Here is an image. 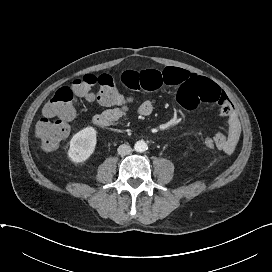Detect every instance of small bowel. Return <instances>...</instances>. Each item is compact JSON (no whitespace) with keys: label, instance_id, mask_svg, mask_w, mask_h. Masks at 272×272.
I'll list each match as a JSON object with an SVG mask.
<instances>
[{"label":"small bowel","instance_id":"c3829d8e","mask_svg":"<svg viewBox=\"0 0 272 272\" xmlns=\"http://www.w3.org/2000/svg\"><path fill=\"white\" fill-rule=\"evenodd\" d=\"M121 83L131 90L146 91L176 86L177 100L187 111L194 110L203 102L216 104L220 116L227 120L228 127L226 132L220 131L213 137L215 148L227 155L235 151L241 134L238 112L225 92L211 80L180 68L168 67L162 70L125 71L121 75ZM137 112L140 116H149L153 112L152 102L143 101L139 104ZM126 113L127 108L114 106L96 114L93 123L99 128H108L122 119Z\"/></svg>","mask_w":272,"mask_h":272}]
</instances>
